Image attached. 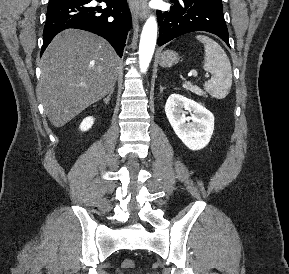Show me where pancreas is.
<instances>
[{
    "label": "pancreas",
    "mask_w": 289,
    "mask_h": 274,
    "mask_svg": "<svg viewBox=\"0 0 289 274\" xmlns=\"http://www.w3.org/2000/svg\"><path fill=\"white\" fill-rule=\"evenodd\" d=\"M184 88L199 96L204 95V92L199 87H197L196 85H192L191 83L184 84Z\"/></svg>",
    "instance_id": "obj_1"
}]
</instances>
